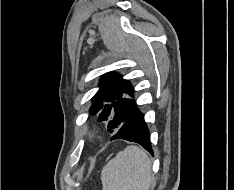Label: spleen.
I'll list each match as a JSON object with an SVG mask.
<instances>
[{"label": "spleen", "instance_id": "obj_1", "mask_svg": "<svg viewBox=\"0 0 234 190\" xmlns=\"http://www.w3.org/2000/svg\"><path fill=\"white\" fill-rule=\"evenodd\" d=\"M101 181L103 190H149L152 182L150 158L143 149L129 146L104 166Z\"/></svg>", "mask_w": 234, "mask_h": 190}]
</instances>
